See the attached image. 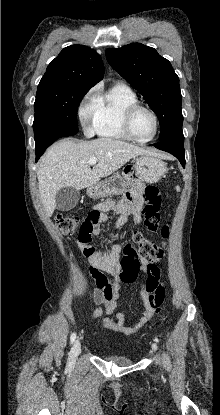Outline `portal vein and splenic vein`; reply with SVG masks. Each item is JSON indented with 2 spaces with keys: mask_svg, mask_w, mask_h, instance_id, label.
I'll return each mask as SVG.
<instances>
[{
  "mask_svg": "<svg viewBox=\"0 0 220 415\" xmlns=\"http://www.w3.org/2000/svg\"><path fill=\"white\" fill-rule=\"evenodd\" d=\"M88 163L90 165H95L97 163V158H90L89 161H88Z\"/></svg>",
  "mask_w": 220,
  "mask_h": 415,
  "instance_id": "18ae733b",
  "label": "portal vein and splenic vein"
}]
</instances>
